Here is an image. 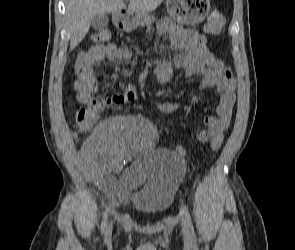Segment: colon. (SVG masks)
<instances>
[{"instance_id":"obj_1","label":"colon","mask_w":295,"mask_h":250,"mask_svg":"<svg viewBox=\"0 0 295 250\" xmlns=\"http://www.w3.org/2000/svg\"><path fill=\"white\" fill-rule=\"evenodd\" d=\"M224 24H225V19L222 13L217 9H213L207 17L206 23L204 25V30L207 34L217 35L223 29ZM109 36H110L109 32L105 30H100L93 34V40L96 43H103L109 39ZM87 51H88L87 49H83L79 51L76 54L75 59L81 60V61L84 60V58L86 57ZM224 75L226 77H232V74L229 68L225 69ZM99 114L100 112L95 106L85 105L76 109L74 113V118L79 128H81L82 130H90L95 125ZM211 148L213 150H218L220 148V145L219 143H213L211 144Z\"/></svg>"}]
</instances>
